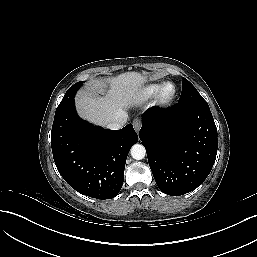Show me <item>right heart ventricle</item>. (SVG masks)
Here are the masks:
<instances>
[{"label":"right heart ventricle","mask_w":257,"mask_h":257,"mask_svg":"<svg viewBox=\"0 0 257 257\" xmlns=\"http://www.w3.org/2000/svg\"><path fill=\"white\" fill-rule=\"evenodd\" d=\"M164 85V83H152L148 84L144 87H142L137 94L135 95V98L139 101H145L151 97H153L157 92L161 89V87Z\"/></svg>","instance_id":"obj_1"}]
</instances>
